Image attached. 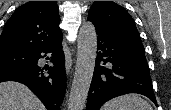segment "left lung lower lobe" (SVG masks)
<instances>
[{
    "instance_id": "1",
    "label": "left lung lower lobe",
    "mask_w": 171,
    "mask_h": 110,
    "mask_svg": "<svg viewBox=\"0 0 171 110\" xmlns=\"http://www.w3.org/2000/svg\"><path fill=\"white\" fill-rule=\"evenodd\" d=\"M96 33L99 52L87 110H98L106 101L127 93L145 95L157 105L145 54ZM106 63L109 65L105 66Z\"/></svg>"
}]
</instances>
